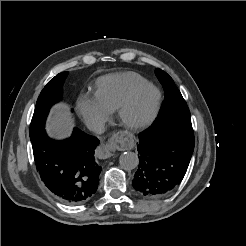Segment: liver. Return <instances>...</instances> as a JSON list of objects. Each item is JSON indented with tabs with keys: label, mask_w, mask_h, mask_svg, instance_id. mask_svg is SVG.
<instances>
[{
	"label": "liver",
	"mask_w": 246,
	"mask_h": 246,
	"mask_svg": "<svg viewBox=\"0 0 246 246\" xmlns=\"http://www.w3.org/2000/svg\"><path fill=\"white\" fill-rule=\"evenodd\" d=\"M73 119L65 105L55 106L48 119L47 131L55 138H64L70 135Z\"/></svg>",
	"instance_id": "liver-1"
}]
</instances>
